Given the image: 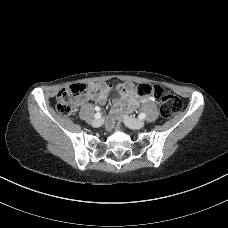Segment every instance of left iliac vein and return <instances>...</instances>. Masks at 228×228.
Instances as JSON below:
<instances>
[{
  "label": "left iliac vein",
  "instance_id": "1",
  "mask_svg": "<svg viewBox=\"0 0 228 228\" xmlns=\"http://www.w3.org/2000/svg\"><path fill=\"white\" fill-rule=\"evenodd\" d=\"M124 122L132 129H141L144 127L145 122L131 116H124Z\"/></svg>",
  "mask_w": 228,
  "mask_h": 228
}]
</instances>
